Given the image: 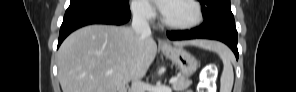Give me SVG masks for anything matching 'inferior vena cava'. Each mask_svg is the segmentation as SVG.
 Returning a JSON list of instances; mask_svg holds the SVG:
<instances>
[{
  "instance_id": "602c4592",
  "label": "inferior vena cava",
  "mask_w": 296,
  "mask_h": 92,
  "mask_svg": "<svg viewBox=\"0 0 296 92\" xmlns=\"http://www.w3.org/2000/svg\"><path fill=\"white\" fill-rule=\"evenodd\" d=\"M148 11L149 8L147 6H138L133 10L132 28L136 35H151V29L147 19ZM131 92H145V86L140 79H133Z\"/></svg>"
}]
</instances>
